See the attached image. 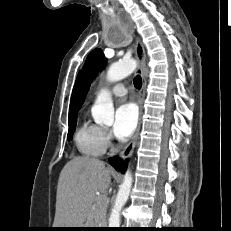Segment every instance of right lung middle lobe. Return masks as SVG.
I'll return each mask as SVG.
<instances>
[{
	"label": "right lung middle lobe",
	"mask_w": 231,
	"mask_h": 231,
	"mask_svg": "<svg viewBox=\"0 0 231 231\" xmlns=\"http://www.w3.org/2000/svg\"><path fill=\"white\" fill-rule=\"evenodd\" d=\"M69 130H68V140H70L73 136L76 126V116L69 118L68 120Z\"/></svg>",
	"instance_id": "1"
}]
</instances>
